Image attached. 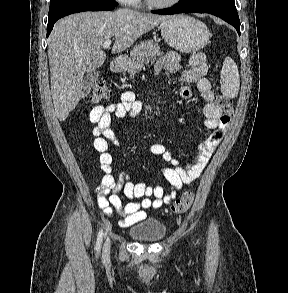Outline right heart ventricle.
Here are the masks:
<instances>
[{"label":"right heart ventricle","mask_w":288,"mask_h":293,"mask_svg":"<svg viewBox=\"0 0 288 293\" xmlns=\"http://www.w3.org/2000/svg\"><path fill=\"white\" fill-rule=\"evenodd\" d=\"M140 0H135L132 4L133 5H137L139 3Z\"/></svg>","instance_id":"e07e8e85"}]
</instances>
